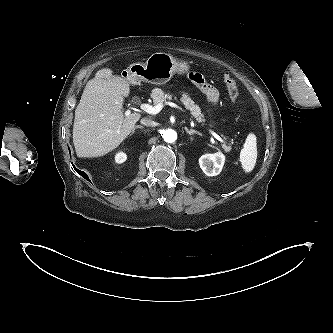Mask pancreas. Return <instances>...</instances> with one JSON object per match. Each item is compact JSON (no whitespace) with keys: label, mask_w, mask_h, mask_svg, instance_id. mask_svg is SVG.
Segmentation results:
<instances>
[{"label":"pancreas","mask_w":333,"mask_h":333,"mask_svg":"<svg viewBox=\"0 0 333 333\" xmlns=\"http://www.w3.org/2000/svg\"><path fill=\"white\" fill-rule=\"evenodd\" d=\"M151 97L153 99L154 104H163L166 103V100H172L173 96L170 93H165L163 90L159 88H155L152 90ZM177 100V97H174ZM180 101L184 104L185 108L191 112V114L197 118L199 122L204 121L203 114L201 113L200 107L195 104V102L191 99L189 94L182 93ZM225 151L229 152L231 147L228 145H223Z\"/></svg>","instance_id":"obj_1"}]
</instances>
